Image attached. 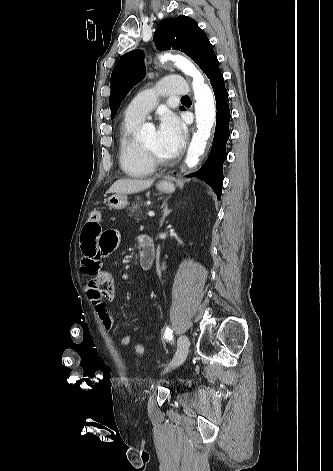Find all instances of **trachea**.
<instances>
[{
    "instance_id": "trachea-1",
    "label": "trachea",
    "mask_w": 333,
    "mask_h": 471,
    "mask_svg": "<svg viewBox=\"0 0 333 471\" xmlns=\"http://www.w3.org/2000/svg\"><path fill=\"white\" fill-rule=\"evenodd\" d=\"M181 99H189V96H183Z\"/></svg>"
}]
</instances>
